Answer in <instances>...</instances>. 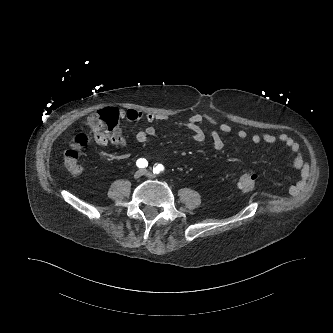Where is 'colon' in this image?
<instances>
[{
  "instance_id": "obj_1",
  "label": "colon",
  "mask_w": 333,
  "mask_h": 333,
  "mask_svg": "<svg viewBox=\"0 0 333 333\" xmlns=\"http://www.w3.org/2000/svg\"><path fill=\"white\" fill-rule=\"evenodd\" d=\"M119 112L116 108L107 107L92 113L85 122L86 131L75 135L69 148L63 154V163L71 174L82 171L79 161L81 150L92 139L114 134L118 128ZM257 175L253 171L243 172L238 180V187L244 191H251L256 183Z\"/></svg>"
}]
</instances>
